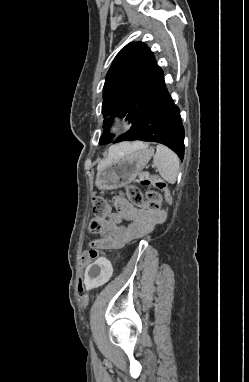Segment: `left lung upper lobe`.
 I'll list each match as a JSON object with an SVG mask.
<instances>
[{
  "label": "left lung upper lobe",
  "mask_w": 249,
  "mask_h": 382,
  "mask_svg": "<svg viewBox=\"0 0 249 382\" xmlns=\"http://www.w3.org/2000/svg\"><path fill=\"white\" fill-rule=\"evenodd\" d=\"M163 83V72L150 49L142 42L126 45L115 57L106 76L102 105L104 132L100 144L112 141L108 128L115 116H126L133 126Z\"/></svg>",
  "instance_id": "1"
}]
</instances>
